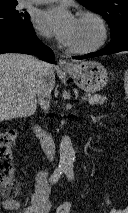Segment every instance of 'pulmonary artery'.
Segmentation results:
<instances>
[{"instance_id":"1","label":"pulmonary artery","mask_w":128,"mask_h":213,"mask_svg":"<svg viewBox=\"0 0 128 213\" xmlns=\"http://www.w3.org/2000/svg\"><path fill=\"white\" fill-rule=\"evenodd\" d=\"M56 0H27L25 4H47Z\"/></svg>"}]
</instances>
